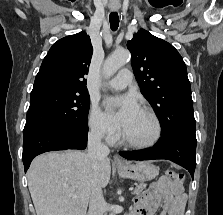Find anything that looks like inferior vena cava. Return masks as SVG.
Listing matches in <instances>:
<instances>
[{
  "label": "inferior vena cava",
  "instance_id": "1",
  "mask_svg": "<svg viewBox=\"0 0 223 215\" xmlns=\"http://www.w3.org/2000/svg\"><path fill=\"white\" fill-rule=\"evenodd\" d=\"M102 133L99 129H91L88 133V157L92 161L93 171L100 169L101 159L107 157L109 147L101 141ZM105 209V199L100 185H93L89 203L88 215H103Z\"/></svg>",
  "mask_w": 223,
  "mask_h": 215
}]
</instances>
